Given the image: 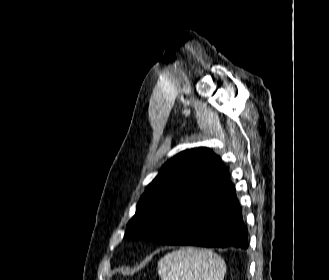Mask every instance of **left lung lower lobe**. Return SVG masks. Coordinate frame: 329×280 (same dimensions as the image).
<instances>
[{
	"label": "left lung lower lobe",
	"instance_id": "left-lung-lower-lobe-1",
	"mask_svg": "<svg viewBox=\"0 0 329 280\" xmlns=\"http://www.w3.org/2000/svg\"><path fill=\"white\" fill-rule=\"evenodd\" d=\"M160 236L169 239L171 245L247 249V227L228 171L220 186L210 187L189 203Z\"/></svg>",
	"mask_w": 329,
	"mask_h": 280
}]
</instances>
